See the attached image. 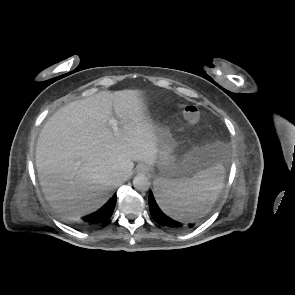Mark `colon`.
<instances>
[{"label": "colon", "mask_w": 295, "mask_h": 295, "mask_svg": "<svg viewBox=\"0 0 295 295\" xmlns=\"http://www.w3.org/2000/svg\"><path fill=\"white\" fill-rule=\"evenodd\" d=\"M181 110L184 118L190 123H196L200 119V112L198 108L193 104L182 103Z\"/></svg>", "instance_id": "colon-1"}]
</instances>
